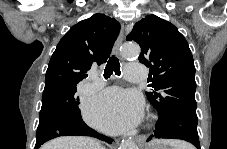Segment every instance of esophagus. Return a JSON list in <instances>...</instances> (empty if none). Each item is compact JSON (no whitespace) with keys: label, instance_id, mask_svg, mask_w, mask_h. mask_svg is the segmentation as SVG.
Wrapping results in <instances>:
<instances>
[{"label":"esophagus","instance_id":"esophagus-1","mask_svg":"<svg viewBox=\"0 0 227 149\" xmlns=\"http://www.w3.org/2000/svg\"><path fill=\"white\" fill-rule=\"evenodd\" d=\"M123 28H124V25L122 24V29H121L120 35L117 38L115 45H114V53L117 56H120V50H121V46H122V42H123ZM136 141H137V145H146L147 138L146 137H137Z\"/></svg>","mask_w":227,"mask_h":149}]
</instances>
